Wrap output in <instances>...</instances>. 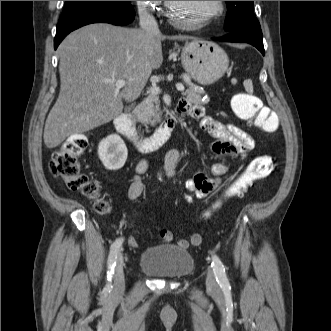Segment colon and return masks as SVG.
Wrapping results in <instances>:
<instances>
[{
    "mask_svg": "<svg viewBox=\"0 0 331 331\" xmlns=\"http://www.w3.org/2000/svg\"><path fill=\"white\" fill-rule=\"evenodd\" d=\"M231 106L240 120L251 124L263 132L273 133L279 127L278 115L264 107L261 100L251 93L244 92L234 95ZM87 145L86 137L81 134L72 135L65 140L53 154L50 164L51 173L59 178L69 190L80 192L91 198L98 212L106 213L109 205L100 198L98 182L82 171L79 162V157ZM272 168L273 161L270 156H257L228 188L225 199L244 196L255 182L269 176ZM220 206L221 202L216 203L205 213V217L210 218ZM189 241L191 244L198 246L201 244L202 238L199 234H191Z\"/></svg>",
    "mask_w": 331,
    "mask_h": 331,
    "instance_id": "5ec220e1",
    "label": "colon"
}]
</instances>
